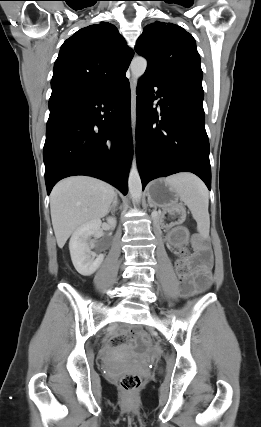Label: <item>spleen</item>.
Wrapping results in <instances>:
<instances>
[{
  "label": "spleen",
  "mask_w": 261,
  "mask_h": 427,
  "mask_svg": "<svg viewBox=\"0 0 261 427\" xmlns=\"http://www.w3.org/2000/svg\"><path fill=\"white\" fill-rule=\"evenodd\" d=\"M166 182L178 193L197 222L200 235L208 236L210 216L208 212L209 193L205 184L190 173H179L166 178Z\"/></svg>",
  "instance_id": "3e777b00"
}]
</instances>
